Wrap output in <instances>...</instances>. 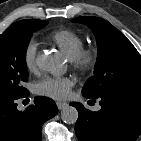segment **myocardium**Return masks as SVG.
Wrapping results in <instances>:
<instances>
[{
	"mask_svg": "<svg viewBox=\"0 0 141 141\" xmlns=\"http://www.w3.org/2000/svg\"><path fill=\"white\" fill-rule=\"evenodd\" d=\"M99 53L95 47H83L74 57L70 58L72 67L80 73H89L96 66Z\"/></svg>",
	"mask_w": 141,
	"mask_h": 141,
	"instance_id": "myocardium-1",
	"label": "myocardium"
}]
</instances>
